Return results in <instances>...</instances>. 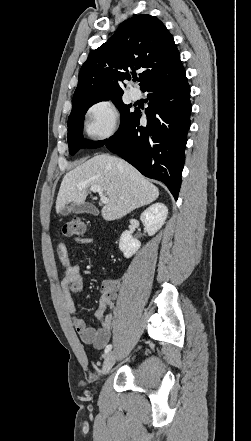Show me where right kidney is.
Masks as SVG:
<instances>
[{"label":"right kidney","instance_id":"right-kidney-1","mask_svg":"<svg viewBox=\"0 0 251 441\" xmlns=\"http://www.w3.org/2000/svg\"><path fill=\"white\" fill-rule=\"evenodd\" d=\"M168 215V208L163 203H155L147 208L140 216L149 236L154 235L164 224ZM139 240L133 238L132 234L125 230L119 240V249L125 258H130L140 248Z\"/></svg>","mask_w":251,"mask_h":441}]
</instances>
